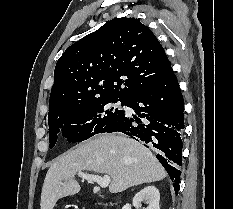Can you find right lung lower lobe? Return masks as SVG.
<instances>
[{
  "instance_id": "right-lung-lower-lobe-1",
  "label": "right lung lower lobe",
  "mask_w": 233,
  "mask_h": 209,
  "mask_svg": "<svg viewBox=\"0 0 233 209\" xmlns=\"http://www.w3.org/2000/svg\"><path fill=\"white\" fill-rule=\"evenodd\" d=\"M125 105L132 108L136 115L124 114L101 133L122 132L148 144L145 145L147 148L158 152L156 157L174 181L175 193L178 194L184 105L173 69L152 87L131 95Z\"/></svg>"
}]
</instances>
